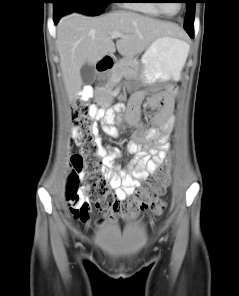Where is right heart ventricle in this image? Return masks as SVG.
<instances>
[{
	"label": "right heart ventricle",
	"mask_w": 239,
	"mask_h": 296,
	"mask_svg": "<svg viewBox=\"0 0 239 296\" xmlns=\"http://www.w3.org/2000/svg\"><path fill=\"white\" fill-rule=\"evenodd\" d=\"M135 3H127L125 5L130 6L133 9L141 11L143 13L153 15V16H161L162 13L158 10V8L153 3V0H135Z\"/></svg>",
	"instance_id": "obj_1"
}]
</instances>
